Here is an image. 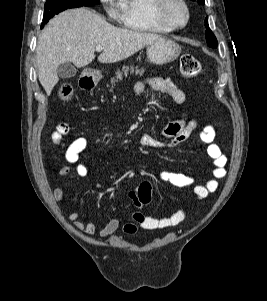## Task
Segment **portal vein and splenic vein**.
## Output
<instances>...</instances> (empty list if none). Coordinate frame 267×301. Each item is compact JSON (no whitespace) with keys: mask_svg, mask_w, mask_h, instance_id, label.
I'll use <instances>...</instances> for the list:
<instances>
[{"mask_svg":"<svg viewBox=\"0 0 267 301\" xmlns=\"http://www.w3.org/2000/svg\"><path fill=\"white\" fill-rule=\"evenodd\" d=\"M102 50H103V48L101 46L96 47V51L101 52Z\"/></svg>","mask_w":267,"mask_h":301,"instance_id":"portal-vein-and-splenic-vein-1","label":"portal vein and splenic vein"}]
</instances>
